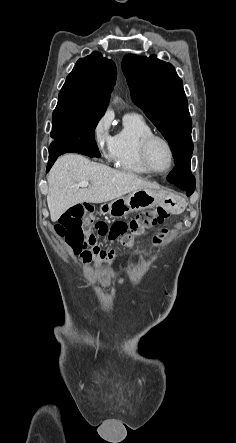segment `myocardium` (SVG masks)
I'll use <instances>...</instances> for the list:
<instances>
[{
  "instance_id": "myocardium-1",
  "label": "myocardium",
  "mask_w": 236,
  "mask_h": 443,
  "mask_svg": "<svg viewBox=\"0 0 236 443\" xmlns=\"http://www.w3.org/2000/svg\"><path fill=\"white\" fill-rule=\"evenodd\" d=\"M155 141L163 142L167 146L169 153H170L169 166L165 170H162V171L156 170L152 166L151 161H150V155H149L150 148H151V145L153 144V142H155ZM140 157H141V161H142L144 167L149 171V173L156 174V175H163V174L168 173L173 168L174 162H175V152H174V148H173L171 142L167 138H165L164 136H161V135H158L155 133L149 134L142 139V141L140 143Z\"/></svg>"
}]
</instances>
